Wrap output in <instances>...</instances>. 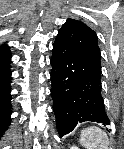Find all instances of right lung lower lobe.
I'll list each match as a JSON object with an SVG mask.
<instances>
[{
  "label": "right lung lower lobe",
  "instance_id": "right-lung-lower-lobe-1",
  "mask_svg": "<svg viewBox=\"0 0 124 149\" xmlns=\"http://www.w3.org/2000/svg\"><path fill=\"white\" fill-rule=\"evenodd\" d=\"M10 60L9 48L6 45L0 46V137L10 124Z\"/></svg>",
  "mask_w": 124,
  "mask_h": 149
}]
</instances>
